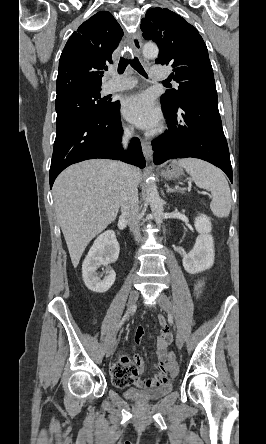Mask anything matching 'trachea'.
I'll list each match as a JSON object with an SVG mask.
<instances>
[{
	"mask_svg": "<svg viewBox=\"0 0 266 444\" xmlns=\"http://www.w3.org/2000/svg\"><path fill=\"white\" fill-rule=\"evenodd\" d=\"M129 54V53H128ZM130 64L138 73H140L145 78H148L147 73L145 72L143 66L139 62L138 58L134 57L133 59H128L126 57H121L118 64V73H124L127 65ZM167 84L166 82H164Z\"/></svg>",
	"mask_w": 266,
	"mask_h": 444,
	"instance_id": "obj_1",
	"label": "trachea"
}]
</instances>
